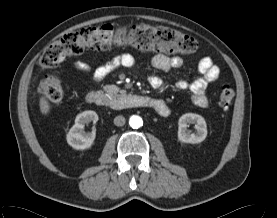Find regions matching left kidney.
<instances>
[{"instance_id": "obj_1", "label": "left kidney", "mask_w": 277, "mask_h": 218, "mask_svg": "<svg viewBox=\"0 0 277 218\" xmlns=\"http://www.w3.org/2000/svg\"><path fill=\"white\" fill-rule=\"evenodd\" d=\"M189 124H195L196 133L187 129ZM207 136V125L205 119L195 113L183 114L178 121V139L184 143L196 144L202 142Z\"/></svg>"}]
</instances>
